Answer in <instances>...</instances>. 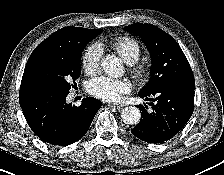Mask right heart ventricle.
<instances>
[{
    "label": "right heart ventricle",
    "mask_w": 224,
    "mask_h": 175,
    "mask_svg": "<svg viewBox=\"0 0 224 175\" xmlns=\"http://www.w3.org/2000/svg\"><path fill=\"white\" fill-rule=\"evenodd\" d=\"M110 46L127 64H134L140 56V45L132 37H117L110 42Z\"/></svg>",
    "instance_id": "e07e8e85"
}]
</instances>
